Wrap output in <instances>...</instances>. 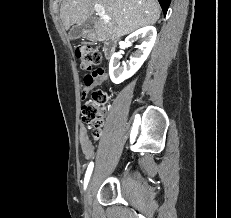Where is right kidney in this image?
<instances>
[{"label": "right kidney", "instance_id": "obj_1", "mask_svg": "<svg viewBox=\"0 0 231 218\" xmlns=\"http://www.w3.org/2000/svg\"><path fill=\"white\" fill-rule=\"evenodd\" d=\"M156 28L153 26L143 27L130 34L126 39V45L130 46L134 38H141V45L136 46L138 50L130 57L128 64L122 63L120 66L121 53H114L109 63V75L113 83L119 84L125 79L134 75L147 59L156 40Z\"/></svg>", "mask_w": 231, "mask_h": 218}]
</instances>
